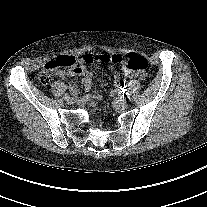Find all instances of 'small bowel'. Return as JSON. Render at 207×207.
Segmentation results:
<instances>
[{
    "label": "small bowel",
    "mask_w": 207,
    "mask_h": 207,
    "mask_svg": "<svg viewBox=\"0 0 207 207\" xmlns=\"http://www.w3.org/2000/svg\"><path fill=\"white\" fill-rule=\"evenodd\" d=\"M59 76L60 77L81 76L83 86L87 91H90L93 87L92 74L84 66H81L75 72H68V71L59 72ZM124 76H127L129 78L143 79L145 77V74L139 73V72H133V71L124 67L121 72H119L115 75V82L116 83H115L114 89L111 92V95L122 90V88L124 87L122 84V79ZM98 99L100 101L104 100V98L102 96H98Z\"/></svg>",
    "instance_id": "obj_1"
}]
</instances>
